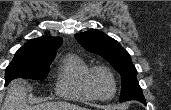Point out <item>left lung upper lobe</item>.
<instances>
[{
	"label": "left lung upper lobe",
	"instance_id": "1",
	"mask_svg": "<svg viewBox=\"0 0 171 110\" xmlns=\"http://www.w3.org/2000/svg\"><path fill=\"white\" fill-rule=\"evenodd\" d=\"M75 38L84 49L104 57L121 74L120 102L138 100L145 103L142 89L136 79L137 70L129 53L116 40L98 30L75 34Z\"/></svg>",
	"mask_w": 171,
	"mask_h": 110
}]
</instances>
